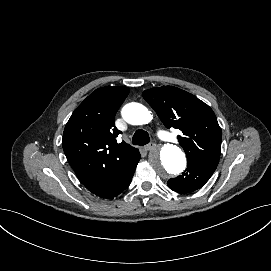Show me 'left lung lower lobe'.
<instances>
[{"label":"left lung lower lobe","mask_w":271,"mask_h":271,"mask_svg":"<svg viewBox=\"0 0 271 271\" xmlns=\"http://www.w3.org/2000/svg\"><path fill=\"white\" fill-rule=\"evenodd\" d=\"M217 165L209 160L188 162L186 171L176 178L168 180L167 185L173 191L187 194L201 188L212 176Z\"/></svg>","instance_id":"0a47b994"}]
</instances>
